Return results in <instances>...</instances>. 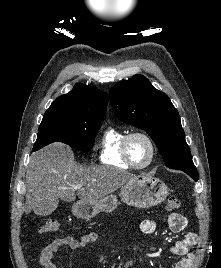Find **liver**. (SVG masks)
<instances>
[{
	"instance_id": "6515ba94",
	"label": "liver",
	"mask_w": 221,
	"mask_h": 268,
	"mask_svg": "<svg viewBox=\"0 0 221 268\" xmlns=\"http://www.w3.org/2000/svg\"><path fill=\"white\" fill-rule=\"evenodd\" d=\"M134 177L131 173L108 166H78L72 150L61 143L50 144L30 157L26 173L25 213L48 215L59 199L72 202L98 201L113 193ZM81 184L77 190L73 185Z\"/></svg>"
}]
</instances>
